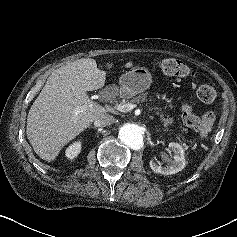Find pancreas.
<instances>
[{"instance_id": "obj_1", "label": "pancreas", "mask_w": 237, "mask_h": 237, "mask_svg": "<svg viewBox=\"0 0 237 237\" xmlns=\"http://www.w3.org/2000/svg\"><path fill=\"white\" fill-rule=\"evenodd\" d=\"M143 97H145V95H143V96L139 95V96L131 99L130 101H123L121 103H130V104L139 103L140 101L144 100ZM159 114H160V121L164 124V126H168L169 124L173 123L174 120H173V118H169V115H167V117L165 118L162 112H160Z\"/></svg>"}]
</instances>
